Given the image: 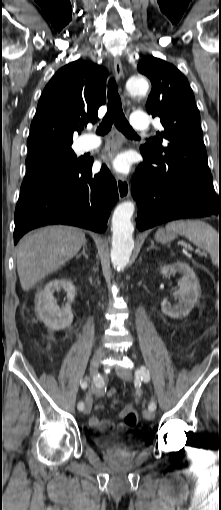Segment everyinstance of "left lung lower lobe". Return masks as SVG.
I'll use <instances>...</instances> for the list:
<instances>
[{
	"mask_svg": "<svg viewBox=\"0 0 221 510\" xmlns=\"http://www.w3.org/2000/svg\"><path fill=\"white\" fill-rule=\"evenodd\" d=\"M142 156L144 163L138 167L131 188L138 205L139 230L184 218L219 215L221 219V193L215 192L212 183L192 179L165 182Z\"/></svg>",
	"mask_w": 221,
	"mask_h": 510,
	"instance_id": "0a47b994",
	"label": "left lung lower lobe"
}]
</instances>
